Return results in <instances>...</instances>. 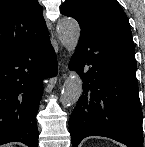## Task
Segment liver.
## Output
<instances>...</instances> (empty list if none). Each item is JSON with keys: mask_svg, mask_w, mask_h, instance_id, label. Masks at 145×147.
<instances>
[{"mask_svg": "<svg viewBox=\"0 0 145 147\" xmlns=\"http://www.w3.org/2000/svg\"><path fill=\"white\" fill-rule=\"evenodd\" d=\"M4 147H12L10 144H8V145H4Z\"/></svg>", "mask_w": 145, "mask_h": 147, "instance_id": "1", "label": "liver"}]
</instances>
